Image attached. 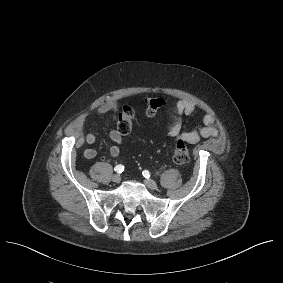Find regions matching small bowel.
Masks as SVG:
<instances>
[{
	"mask_svg": "<svg viewBox=\"0 0 283 283\" xmlns=\"http://www.w3.org/2000/svg\"><path fill=\"white\" fill-rule=\"evenodd\" d=\"M195 110L194 104L186 99L179 100L174 108L175 120L169 128L167 135L175 141H184L189 144H196L201 138L216 137L219 133L218 122L213 114H206L203 117V124L192 130H185L183 128L182 117L190 116ZM110 116L112 119L117 117V105L115 103H105L89 117L92 123H96L104 116ZM83 121L76 120L69 126L71 135L78 137L77 145L82 146L84 143L93 144L97 140L96 131H90L85 136L82 135ZM109 139L112 145L109 147V154L113 157L118 156L121 152V145L123 142L122 135L118 130H111L109 132ZM97 155L94 148L88 147L84 150V156L87 159H93Z\"/></svg>",
	"mask_w": 283,
	"mask_h": 283,
	"instance_id": "1",
	"label": "small bowel"
}]
</instances>
